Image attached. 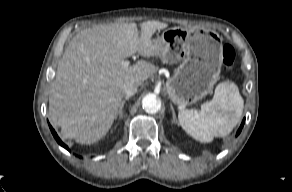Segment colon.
Here are the masks:
<instances>
[{
    "label": "colon",
    "instance_id": "colon-1",
    "mask_svg": "<svg viewBox=\"0 0 292 192\" xmlns=\"http://www.w3.org/2000/svg\"><path fill=\"white\" fill-rule=\"evenodd\" d=\"M235 60V51L234 49L229 46L225 45L222 49V61L223 64L227 67L230 68L232 67L233 63Z\"/></svg>",
    "mask_w": 292,
    "mask_h": 192
}]
</instances>
